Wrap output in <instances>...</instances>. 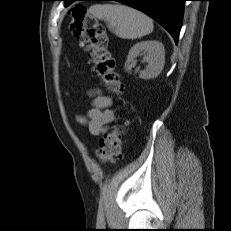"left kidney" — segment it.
<instances>
[{"instance_id":"left-kidney-1","label":"left kidney","mask_w":231,"mask_h":231,"mask_svg":"<svg viewBox=\"0 0 231 231\" xmlns=\"http://www.w3.org/2000/svg\"><path fill=\"white\" fill-rule=\"evenodd\" d=\"M144 53L145 61L148 63L146 69L140 72L139 77L142 79H151L157 77L165 63V49L159 41H142L136 43L129 51L125 62V70L130 72L135 58Z\"/></svg>"}]
</instances>
